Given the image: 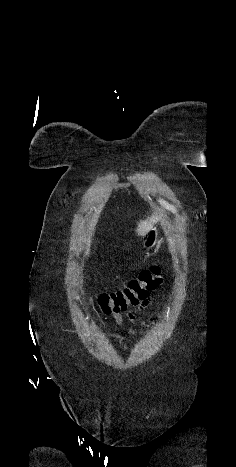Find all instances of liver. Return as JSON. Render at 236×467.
Wrapping results in <instances>:
<instances>
[{"label":"liver","mask_w":236,"mask_h":467,"mask_svg":"<svg viewBox=\"0 0 236 467\" xmlns=\"http://www.w3.org/2000/svg\"><path fill=\"white\" fill-rule=\"evenodd\" d=\"M159 218L160 216L152 215L150 218L140 221L136 229L137 234L141 237H145L153 228L154 224L159 220ZM86 254L88 255L89 251H87Z\"/></svg>","instance_id":"6515ba94"}]
</instances>
